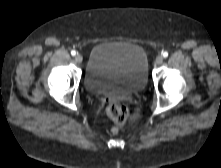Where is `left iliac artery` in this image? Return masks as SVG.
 Instances as JSON below:
<instances>
[{"label":"left iliac artery","mask_w":221,"mask_h":168,"mask_svg":"<svg viewBox=\"0 0 221 168\" xmlns=\"http://www.w3.org/2000/svg\"><path fill=\"white\" fill-rule=\"evenodd\" d=\"M163 57H165V58L168 57V52H166V51L163 52Z\"/></svg>","instance_id":"left-iliac-artery-1"}]
</instances>
